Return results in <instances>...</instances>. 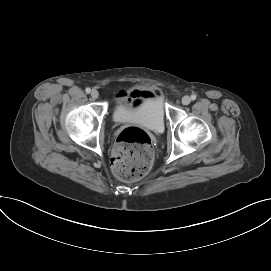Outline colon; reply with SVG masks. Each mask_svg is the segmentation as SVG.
<instances>
[{
    "label": "colon",
    "mask_w": 271,
    "mask_h": 271,
    "mask_svg": "<svg viewBox=\"0 0 271 271\" xmlns=\"http://www.w3.org/2000/svg\"><path fill=\"white\" fill-rule=\"evenodd\" d=\"M153 162L149 134L139 127H128L118 135L112 156L113 174L123 181H134L145 176Z\"/></svg>",
    "instance_id": "colon-1"
}]
</instances>
